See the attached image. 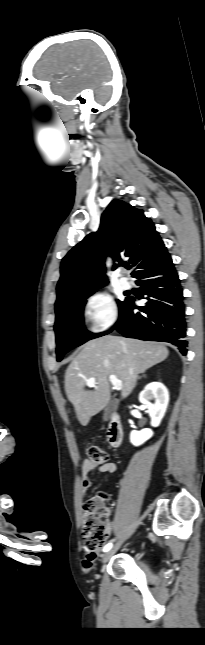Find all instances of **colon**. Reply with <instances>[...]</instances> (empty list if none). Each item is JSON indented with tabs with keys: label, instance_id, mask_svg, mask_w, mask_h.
I'll list each match as a JSON object with an SVG mask.
<instances>
[{
	"label": "colon",
	"instance_id": "obj_1",
	"mask_svg": "<svg viewBox=\"0 0 205 645\" xmlns=\"http://www.w3.org/2000/svg\"><path fill=\"white\" fill-rule=\"evenodd\" d=\"M86 456L87 460L95 466H101L108 461L107 452L96 445L87 447ZM107 500L106 493H99L83 504L82 537L84 547L89 553L99 550L108 538Z\"/></svg>",
	"mask_w": 205,
	"mask_h": 645
}]
</instances>
